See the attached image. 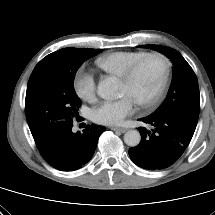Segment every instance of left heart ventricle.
I'll return each mask as SVG.
<instances>
[{
    "mask_svg": "<svg viewBox=\"0 0 215 215\" xmlns=\"http://www.w3.org/2000/svg\"><path fill=\"white\" fill-rule=\"evenodd\" d=\"M163 64L158 58H149L140 66L130 82H120V95H129L135 102L149 99L158 88Z\"/></svg>",
    "mask_w": 215,
    "mask_h": 215,
    "instance_id": "left-heart-ventricle-1",
    "label": "left heart ventricle"
}]
</instances>
